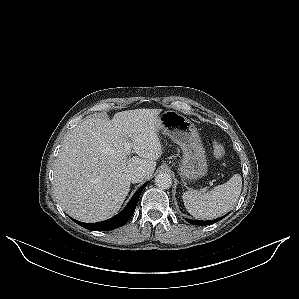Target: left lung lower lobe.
Wrapping results in <instances>:
<instances>
[{"label": "left lung lower lobe", "mask_w": 299, "mask_h": 299, "mask_svg": "<svg viewBox=\"0 0 299 299\" xmlns=\"http://www.w3.org/2000/svg\"><path fill=\"white\" fill-rule=\"evenodd\" d=\"M225 216H223L221 218H218V219H215V220H209V221L190 220V219H186V221L189 222V223H192L194 225H210V224L216 223L217 221L221 220Z\"/></svg>", "instance_id": "obj_1"}]
</instances>
